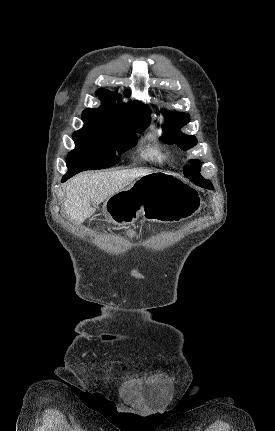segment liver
I'll use <instances>...</instances> for the list:
<instances>
[{
  "mask_svg": "<svg viewBox=\"0 0 275 431\" xmlns=\"http://www.w3.org/2000/svg\"><path fill=\"white\" fill-rule=\"evenodd\" d=\"M150 173L148 169H131L77 175L67 184L64 210L76 224H81L95 212V206Z\"/></svg>",
  "mask_w": 275,
  "mask_h": 431,
  "instance_id": "obj_1",
  "label": "liver"
}]
</instances>
